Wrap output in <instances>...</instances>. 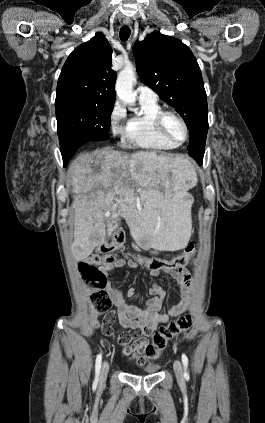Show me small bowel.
Segmentation results:
<instances>
[{
  "label": "small bowel",
  "instance_id": "c3829d8e",
  "mask_svg": "<svg viewBox=\"0 0 265 423\" xmlns=\"http://www.w3.org/2000/svg\"><path fill=\"white\" fill-rule=\"evenodd\" d=\"M127 266L131 269L142 267V263L135 259L119 258L113 263L105 264L100 267L105 279H109V274L115 269ZM161 272H150V276L155 278ZM173 279H175L181 287L182 301L171 307L167 314H159L162 307V300L166 293L161 286L153 283L148 289L151 296L142 306L129 304L126 301L123 293L111 282L107 284V291L109 293L112 304L117 309V317L120 324L131 330L130 333L122 335L118 342L125 346L124 353L126 355H134L142 353L147 341L142 335L155 330L159 325L167 323L170 318L179 316L185 313L190 306V293L192 289L193 278L189 270L185 267L178 271H166ZM126 296L128 298H135L134 288H129ZM132 340L134 342L128 345Z\"/></svg>",
  "mask_w": 265,
  "mask_h": 423
}]
</instances>
